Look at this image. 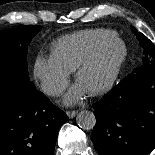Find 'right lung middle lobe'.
<instances>
[{
    "label": "right lung middle lobe",
    "instance_id": "obj_1",
    "mask_svg": "<svg viewBox=\"0 0 155 155\" xmlns=\"http://www.w3.org/2000/svg\"><path fill=\"white\" fill-rule=\"evenodd\" d=\"M39 25H25L0 31V93L14 99H28L35 89L29 80L27 50Z\"/></svg>",
    "mask_w": 155,
    "mask_h": 155
}]
</instances>
